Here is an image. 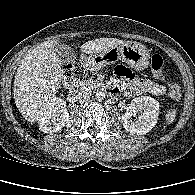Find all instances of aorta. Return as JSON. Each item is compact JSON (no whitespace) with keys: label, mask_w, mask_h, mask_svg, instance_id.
<instances>
[{"label":"aorta","mask_w":195,"mask_h":195,"mask_svg":"<svg viewBox=\"0 0 195 195\" xmlns=\"http://www.w3.org/2000/svg\"><path fill=\"white\" fill-rule=\"evenodd\" d=\"M95 98L97 101H102L105 98V93L103 91H98L95 94Z\"/></svg>","instance_id":"1"}]
</instances>
